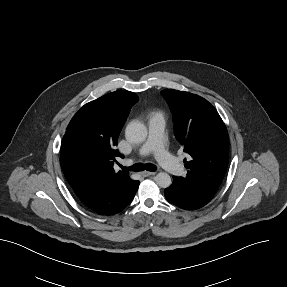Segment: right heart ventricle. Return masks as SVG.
I'll return each instance as SVG.
<instances>
[{
  "instance_id": "e07e8e85",
  "label": "right heart ventricle",
  "mask_w": 287,
  "mask_h": 287,
  "mask_svg": "<svg viewBox=\"0 0 287 287\" xmlns=\"http://www.w3.org/2000/svg\"><path fill=\"white\" fill-rule=\"evenodd\" d=\"M151 117H156V118H160V119H163L164 116H163V113L161 111H154L151 113Z\"/></svg>"
}]
</instances>
